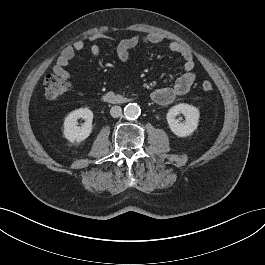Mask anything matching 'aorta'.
<instances>
[{
    "instance_id": "1",
    "label": "aorta",
    "mask_w": 265,
    "mask_h": 265,
    "mask_svg": "<svg viewBox=\"0 0 265 265\" xmlns=\"http://www.w3.org/2000/svg\"><path fill=\"white\" fill-rule=\"evenodd\" d=\"M140 113L141 109L136 103H129L124 108V115L128 119H136Z\"/></svg>"
}]
</instances>
